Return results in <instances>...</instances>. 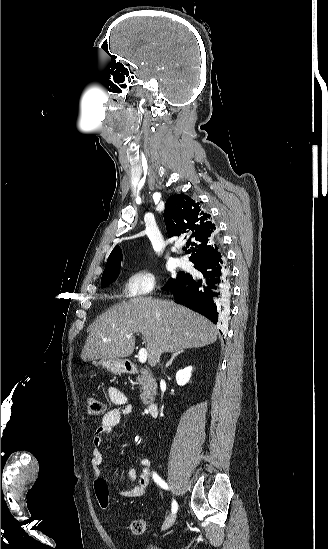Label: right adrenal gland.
I'll return each instance as SVG.
<instances>
[{"mask_svg":"<svg viewBox=\"0 0 328 549\" xmlns=\"http://www.w3.org/2000/svg\"><path fill=\"white\" fill-rule=\"evenodd\" d=\"M180 353H183V351H178V353H174L173 357H171L169 363H172L173 359H175V357H177V355H180Z\"/></svg>","mask_w":328,"mask_h":549,"instance_id":"1","label":"right adrenal gland"}]
</instances>
